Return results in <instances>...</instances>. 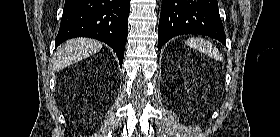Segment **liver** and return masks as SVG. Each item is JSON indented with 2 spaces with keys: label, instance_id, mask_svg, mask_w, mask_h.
<instances>
[{
  "label": "liver",
  "instance_id": "1",
  "mask_svg": "<svg viewBox=\"0 0 280 137\" xmlns=\"http://www.w3.org/2000/svg\"><path fill=\"white\" fill-rule=\"evenodd\" d=\"M102 44L89 38H76L63 43L55 53L54 70L59 71L101 50Z\"/></svg>",
  "mask_w": 280,
  "mask_h": 137
}]
</instances>
